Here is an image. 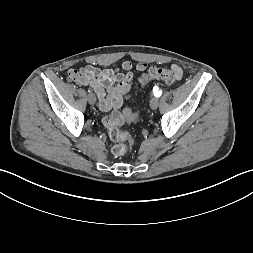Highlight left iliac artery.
<instances>
[{
    "label": "left iliac artery",
    "instance_id": "44dca946",
    "mask_svg": "<svg viewBox=\"0 0 253 253\" xmlns=\"http://www.w3.org/2000/svg\"><path fill=\"white\" fill-rule=\"evenodd\" d=\"M153 92L156 97H160L162 94V91L158 90V87H154Z\"/></svg>",
    "mask_w": 253,
    "mask_h": 253
}]
</instances>
